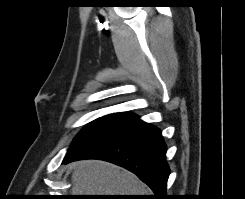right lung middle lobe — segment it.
<instances>
[{
	"label": "right lung middle lobe",
	"instance_id": "right-lung-middle-lobe-1",
	"mask_svg": "<svg viewBox=\"0 0 245 199\" xmlns=\"http://www.w3.org/2000/svg\"><path fill=\"white\" fill-rule=\"evenodd\" d=\"M125 119H127V117L124 115L111 114L91 122L76 136L66 156H69L100 139Z\"/></svg>",
	"mask_w": 245,
	"mask_h": 199
}]
</instances>
